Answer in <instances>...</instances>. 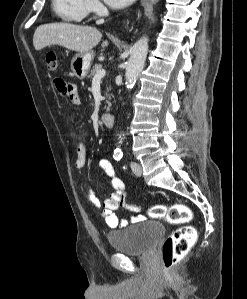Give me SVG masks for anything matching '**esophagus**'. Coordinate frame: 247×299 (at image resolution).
I'll return each instance as SVG.
<instances>
[{
  "label": "esophagus",
  "instance_id": "obj_1",
  "mask_svg": "<svg viewBox=\"0 0 247 299\" xmlns=\"http://www.w3.org/2000/svg\"><path fill=\"white\" fill-rule=\"evenodd\" d=\"M142 4L146 7V9L152 8L149 0H142Z\"/></svg>",
  "mask_w": 247,
  "mask_h": 299
}]
</instances>
